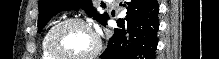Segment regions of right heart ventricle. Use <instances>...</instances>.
<instances>
[{
    "label": "right heart ventricle",
    "instance_id": "obj_1",
    "mask_svg": "<svg viewBox=\"0 0 219 59\" xmlns=\"http://www.w3.org/2000/svg\"><path fill=\"white\" fill-rule=\"evenodd\" d=\"M55 24L49 26L40 41V59H57L55 58L48 50V46H47V42H48V35L51 31V29L53 28Z\"/></svg>",
    "mask_w": 219,
    "mask_h": 59
}]
</instances>
